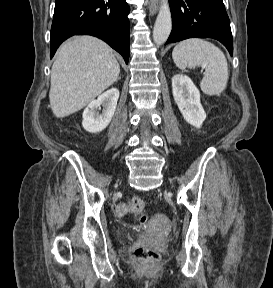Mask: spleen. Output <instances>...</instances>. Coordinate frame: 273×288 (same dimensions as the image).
Returning <instances> with one entry per match:
<instances>
[{"instance_id":"3e777b00","label":"spleen","mask_w":273,"mask_h":288,"mask_svg":"<svg viewBox=\"0 0 273 288\" xmlns=\"http://www.w3.org/2000/svg\"><path fill=\"white\" fill-rule=\"evenodd\" d=\"M174 63L179 69L201 66L205 75L200 88L207 95H219L228 81V64L224 53L213 43L191 38L178 43L172 52Z\"/></svg>"}]
</instances>
